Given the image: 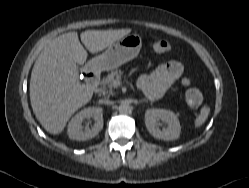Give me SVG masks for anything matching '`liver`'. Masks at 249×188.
Listing matches in <instances>:
<instances>
[{
  "instance_id": "1",
  "label": "liver",
  "mask_w": 249,
  "mask_h": 188,
  "mask_svg": "<svg viewBox=\"0 0 249 188\" xmlns=\"http://www.w3.org/2000/svg\"><path fill=\"white\" fill-rule=\"evenodd\" d=\"M131 29L87 30L80 38L94 54L128 35ZM87 59L77 32L51 40L38 56L30 79V102L42 127L51 134L61 133L70 117L87 104L93 89L79 81L78 65Z\"/></svg>"
}]
</instances>
